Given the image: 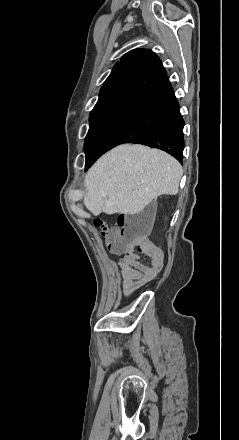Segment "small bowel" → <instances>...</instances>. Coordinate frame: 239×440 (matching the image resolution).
<instances>
[{"instance_id":"obj_1","label":"small bowel","mask_w":239,"mask_h":440,"mask_svg":"<svg viewBox=\"0 0 239 440\" xmlns=\"http://www.w3.org/2000/svg\"><path fill=\"white\" fill-rule=\"evenodd\" d=\"M121 254L122 289L126 295L133 294L152 281L163 267L162 251L148 242L131 246Z\"/></svg>"}]
</instances>
